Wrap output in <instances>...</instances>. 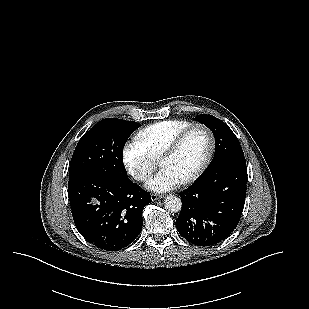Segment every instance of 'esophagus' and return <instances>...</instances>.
<instances>
[{"instance_id":"esophagus-1","label":"esophagus","mask_w":309,"mask_h":309,"mask_svg":"<svg viewBox=\"0 0 309 309\" xmlns=\"http://www.w3.org/2000/svg\"><path fill=\"white\" fill-rule=\"evenodd\" d=\"M162 198V195L159 194H151V200L156 201L158 199Z\"/></svg>"}]
</instances>
